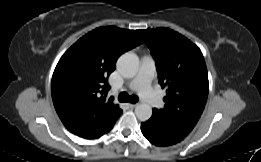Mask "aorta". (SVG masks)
I'll use <instances>...</instances> for the list:
<instances>
[{
	"label": "aorta",
	"instance_id": "obj_1",
	"mask_svg": "<svg viewBox=\"0 0 261 162\" xmlns=\"http://www.w3.org/2000/svg\"><path fill=\"white\" fill-rule=\"evenodd\" d=\"M121 74L127 78H133L139 69V59L132 52L124 53L117 62ZM135 114L140 121H147L152 116V107L146 103H140L135 108Z\"/></svg>",
	"mask_w": 261,
	"mask_h": 162
}]
</instances>
